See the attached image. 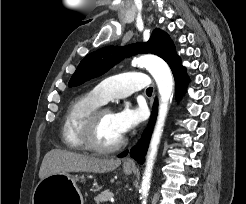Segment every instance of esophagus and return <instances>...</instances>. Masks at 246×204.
Instances as JSON below:
<instances>
[{"label":"esophagus","mask_w":246,"mask_h":204,"mask_svg":"<svg viewBox=\"0 0 246 204\" xmlns=\"http://www.w3.org/2000/svg\"><path fill=\"white\" fill-rule=\"evenodd\" d=\"M124 166L125 167H135V163L132 159H127L125 162H124Z\"/></svg>","instance_id":"obj_1"}]
</instances>
